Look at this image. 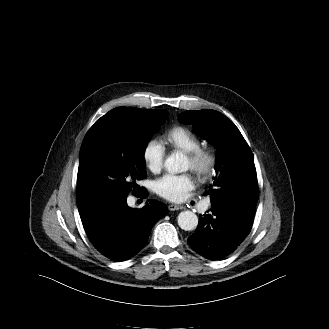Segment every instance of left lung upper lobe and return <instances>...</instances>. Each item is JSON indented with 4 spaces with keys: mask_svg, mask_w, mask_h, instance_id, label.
Here are the masks:
<instances>
[{
    "mask_svg": "<svg viewBox=\"0 0 329 329\" xmlns=\"http://www.w3.org/2000/svg\"><path fill=\"white\" fill-rule=\"evenodd\" d=\"M178 120L194 124L196 133L217 147V176L206 193L211 200L227 199L249 177L250 170L255 169L251 149L242 134L230 119L214 110L185 111Z\"/></svg>",
    "mask_w": 329,
    "mask_h": 329,
    "instance_id": "5c2ea615",
    "label": "left lung upper lobe"
}]
</instances>
